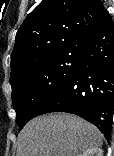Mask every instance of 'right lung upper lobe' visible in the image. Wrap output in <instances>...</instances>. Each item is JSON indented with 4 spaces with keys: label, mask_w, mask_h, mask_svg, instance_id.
Returning a JSON list of instances; mask_svg holds the SVG:
<instances>
[{
    "label": "right lung upper lobe",
    "mask_w": 114,
    "mask_h": 156,
    "mask_svg": "<svg viewBox=\"0 0 114 156\" xmlns=\"http://www.w3.org/2000/svg\"><path fill=\"white\" fill-rule=\"evenodd\" d=\"M107 14L100 0H42L17 31L10 82L34 64L78 46Z\"/></svg>",
    "instance_id": "1"
}]
</instances>
